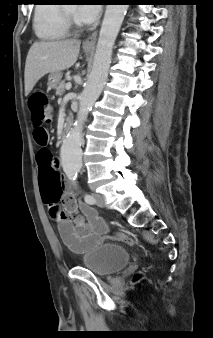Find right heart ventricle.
I'll return each instance as SVG.
<instances>
[{
	"label": "right heart ventricle",
	"instance_id": "e07e8e85",
	"mask_svg": "<svg viewBox=\"0 0 213 338\" xmlns=\"http://www.w3.org/2000/svg\"><path fill=\"white\" fill-rule=\"evenodd\" d=\"M34 31L38 38L45 41L64 39L68 32L62 24L60 5L41 2L34 8Z\"/></svg>",
	"mask_w": 213,
	"mask_h": 338
}]
</instances>
